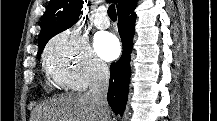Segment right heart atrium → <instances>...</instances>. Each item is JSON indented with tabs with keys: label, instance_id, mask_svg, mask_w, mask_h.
Returning <instances> with one entry per match:
<instances>
[{
	"label": "right heart atrium",
	"instance_id": "right-heart-atrium-1",
	"mask_svg": "<svg viewBox=\"0 0 217 121\" xmlns=\"http://www.w3.org/2000/svg\"><path fill=\"white\" fill-rule=\"evenodd\" d=\"M44 66L58 86L76 91L104 82L109 76L108 66L86 39L72 31L61 32L49 41Z\"/></svg>",
	"mask_w": 217,
	"mask_h": 121
}]
</instances>
